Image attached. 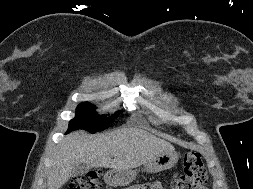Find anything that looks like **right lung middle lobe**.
Wrapping results in <instances>:
<instances>
[{"label": "right lung middle lobe", "mask_w": 253, "mask_h": 189, "mask_svg": "<svg viewBox=\"0 0 253 189\" xmlns=\"http://www.w3.org/2000/svg\"><path fill=\"white\" fill-rule=\"evenodd\" d=\"M95 110V106L88 102L81 103L77 107L76 117L69 122V128L66 133L72 130L84 129L88 132L95 133L96 131H102L109 127V123L112 118H117L120 114L116 112L112 117L106 118L103 116H95L92 112Z\"/></svg>", "instance_id": "right-lung-middle-lobe-1"}]
</instances>
